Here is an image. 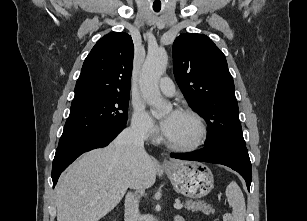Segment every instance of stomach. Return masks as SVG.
I'll return each mask as SVG.
<instances>
[{
  "mask_svg": "<svg viewBox=\"0 0 307 221\" xmlns=\"http://www.w3.org/2000/svg\"><path fill=\"white\" fill-rule=\"evenodd\" d=\"M165 171L175 189L190 198L206 196L214 187L211 170L200 162L173 161Z\"/></svg>",
  "mask_w": 307,
  "mask_h": 221,
  "instance_id": "0dacf381",
  "label": "stomach"
}]
</instances>
